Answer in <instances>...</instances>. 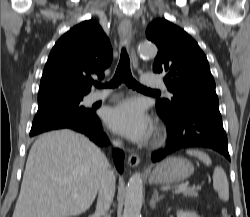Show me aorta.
<instances>
[{"mask_svg":"<svg viewBox=\"0 0 250 217\" xmlns=\"http://www.w3.org/2000/svg\"><path fill=\"white\" fill-rule=\"evenodd\" d=\"M138 52L143 57L154 58L157 54V47L151 43H142L138 47ZM143 203V178L139 172H136L129 179L123 217H141V208Z\"/></svg>","mask_w":250,"mask_h":217,"instance_id":"1","label":"aorta"}]
</instances>
